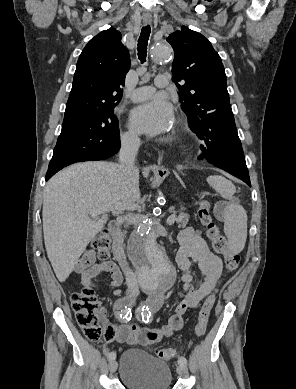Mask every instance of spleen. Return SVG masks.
Instances as JSON below:
<instances>
[{
    "label": "spleen",
    "instance_id": "spleen-1",
    "mask_svg": "<svg viewBox=\"0 0 296 389\" xmlns=\"http://www.w3.org/2000/svg\"><path fill=\"white\" fill-rule=\"evenodd\" d=\"M207 183L221 197L229 200L224 209V233L228 239L229 250L233 254H238L244 249L246 243L247 214L245 209L233 197L236 188L230 180L219 175L209 176Z\"/></svg>",
    "mask_w": 296,
    "mask_h": 389
}]
</instances>
